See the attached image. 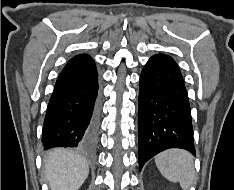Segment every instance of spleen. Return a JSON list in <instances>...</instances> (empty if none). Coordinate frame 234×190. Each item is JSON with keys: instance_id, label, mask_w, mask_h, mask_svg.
<instances>
[{"instance_id": "3e777b00", "label": "spleen", "mask_w": 234, "mask_h": 190, "mask_svg": "<svg viewBox=\"0 0 234 190\" xmlns=\"http://www.w3.org/2000/svg\"><path fill=\"white\" fill-rule=\"evenodd\" d=\"M160 173L169 181L179 182L183 190H189L194 182L193 156L183 149H169L155 157Z\"/></svg>"}]
</instances>
